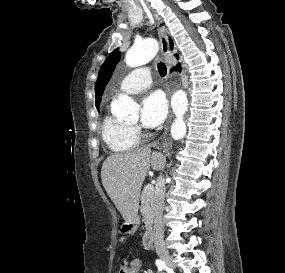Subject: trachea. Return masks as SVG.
I'll return each mask as SVG.
<instances>
[{"label":"trachea","mask_w":285,"mask_h":273,"mask_svg":"<svg viewBox=\"0 0 285 273\" xmlns=\"http://www.w3.org/2000/svg\"><path fill=\"white\" fill-rule=\"evenodd\" d=\"M158 72L160 76L164 77L167 73V68L163 62L158 63Z\"/></svg>","instance_id":"obj_1"}]
</instances>
